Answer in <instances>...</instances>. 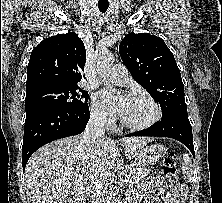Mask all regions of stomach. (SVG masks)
Masks as SVG:
<instances>
[{
    "instance_id": "0dacf381",
    "label": "stomach",
    "mask_w": 222,
    "mask_h": 203,
    "mask_svg": "<svg viewBox=\"0 0 222 203\" xmlns=\"http://www.w3.org/2000/svg\"><path fill=\"white\" fill-rule=\"evenodd\" d=\"M166 152V148L161 144H154L150 146H144L133 151V156L144 165H152L159 160Z\"/></svg>"
}]
</instances>
